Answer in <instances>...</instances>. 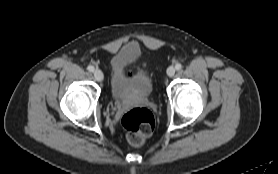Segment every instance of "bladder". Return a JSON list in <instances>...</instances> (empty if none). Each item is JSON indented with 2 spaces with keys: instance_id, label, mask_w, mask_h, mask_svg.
<instances>
[{
  "instance_id": "bladder-1",
  "label": "bladder",
  "mask_w": 278,
  "mask_h": 174,
  "mask_svg": "<svg viewBox=\"0 0 278 174\" xmlns=\"http://www.w3.org/2000/svg\"><path fill=\"white\" fill-rule=\"evenodd\" d=\"M137 56V49L126 46L110 60L111 92L116 101L148 98L153 91V79L148 70L138 68L133 73L127 72Z\"/></svg>"
}]
</instances>
